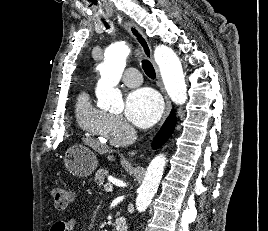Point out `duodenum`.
<instances>
[{"mask_svg":"<svg viewBox=\"0 0 268 231\" xmlns=\"http://www.w3.org/2000/svg\"><path fill=\"white\" fill-rule=\"evenodd\" d=\"M127 221L123 217H119L115 223V231H127Z\"/></svg>","mask_w":268,"mask_h":231,"instance_id":"duodenum-1","label":"duodenum"}]
</instances>
